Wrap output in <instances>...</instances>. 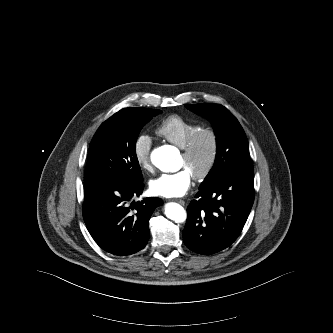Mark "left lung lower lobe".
<instances>
[{"instance_id":"obj_1","label":"left lung lower lobe","mask_w":333,"mask_h":333,"mask_svg":"<svg viewBox=\"0 0 333 333\" xmlns=\"http://www.w3.org/2000/svg\"><path fill=\"white\" fill-rule=\"evenodd\" d=\"M187 208L183 230L185 245L200 254H213L230 246L242 231L254 201L253 169L226 174L199 188Z\"/></svg>"}]
</instances>
